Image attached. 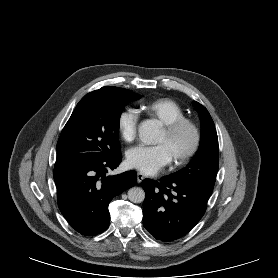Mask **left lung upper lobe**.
Instances as JSON below:
<instances>
[{
    "instance_id": "obj_1",
    "label": "left lung upper lobe",
    "mask_w": 278,
    "mask_h": 278,
    "mask_svg": "<svg viewBox=\"0 0 278 278\" xmlns=\"http://www.w3.org/2000/svg\"><path fill=\"white\" fill-rule=\"evenodd\" d=\"M193 104L201 121L200 147L185 168L168 176L178 181L194 182L213 188L219 165L218 137L207 109L196 101Z\"/></svg>"
}]
</instances>
